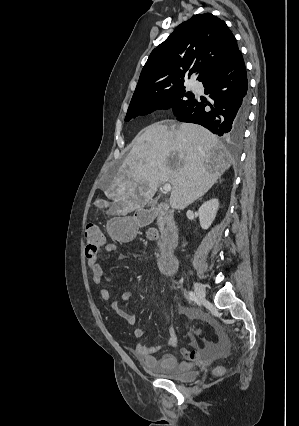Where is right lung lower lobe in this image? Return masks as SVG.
<instances>
[{
    "label": "right lung lower lobe",
    "mask_w": 299,
    "mask_h": 426,
    "mask_svg": "<svg viewBox=\"0 0 299 426\" xmlns=\"http://www.w3.org/2000/svg\"><path fill=\"white\" fill-rule=\"evenodd\" d=\"M201 82L210 99L194 97L175 114L177 119L200 124L219 136L239 138L249 112L247 75L241 52Z\"/></svg>",
    "instance_id": "98d812e1"
}]
</instances>
